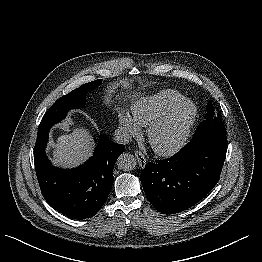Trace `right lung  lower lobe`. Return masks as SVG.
Returning a JSON list of instances; mask_svg holds the SVG:
<instances>
[{
	"mask_svg": "<svg viewBox=\"0 0 262 262\" xmlns=\"http://www.w3.org/2000/svg\"><path fill=\"white\" fill-rule=\"evenodd\" d=\"M56 123H40L34 148L42 195L53 209L70 218L93 217L107 200L113 185V168L125 146L101 135L94 155L83 165L70 170L55 168L45 155V147L49 130Z\"/></svg>",
	"mask_w": 262,
	"mask_h": 262,
	"instance_id": "1",
	"label": "right lung lower lobe"
}]
</instances>
